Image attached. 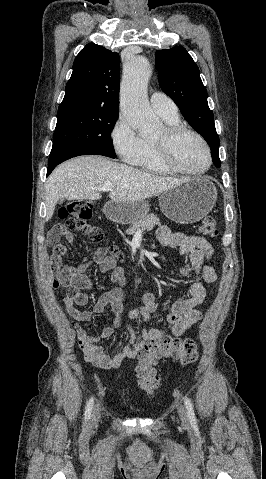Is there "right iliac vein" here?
I'll list each match as a JSON object with an SVG mask.
<instances>
[{"mask_svg": "<svg viewBox=\"0 0 266 479\" xmlns=\"http://www.w3.org/2000/svg\"><path fill=\"white\" fill-rule=\"evenodd\" d=\"M100 415H101L100 406L96 405L93 408L92 415L89 421V425H88L89 430L94 429L98 426Z\"/></svg>", "mask_w": 266, "mask_h": 479, "instance_id": "obj_1", "label": "right iliac vein"}]
</instances>
